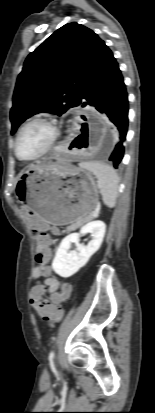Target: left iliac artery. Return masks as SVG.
<instances>
[{"mask_svg":"<svg viewBox=\"0 0 155 413\" xmlns=\"http://www.w3.org/2000/svg\"><path fill=\"white\" fill-rule=\"evenodd\" d=\"M53 359H54V352L51 351L50 354H49L50 366H51V368H52L53 370H55V366H54Z\"/></svg>","mask_w":155,"mask_h":413,"instance_id":"1","label":"left iliac artery"}]
</instances>
